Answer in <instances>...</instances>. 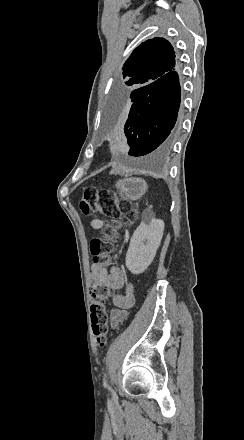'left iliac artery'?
<instances>
[{
    "label": "left iliac artery",
    "mask_w": 244,
    "mask_h": 440,
    "mask_svg": "<svg viewBox=\"0 0 244 440\" xmlns=\"http://www.w3.org/2000/svg\"><path fill=\"white\" fill-rule=\"evenodd\" d=\"M103 385L105 388L109 389V385L107 384V380H106V374H104V377H103Z\"/></svg>",
    "instance_id": "1"
}]
</instances>
